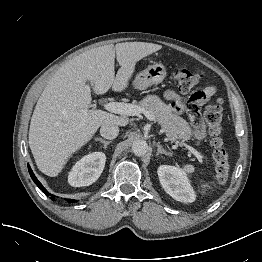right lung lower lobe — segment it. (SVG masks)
Masks as SVG:
<instances>
[{
  "mask_svg": "<svg viewBox=\"0 0 262 262\" xmlns=\"http://www.w3.org/2000/svg\"><path fill=\"white\" fill-rule=\"evenodd\" d=\"M28 169H29V173L31 178L33 179V181L35 182V184L46 194L49 195V193L47 192V190L42 186V184L37 180V178L35 177V175L33 174L30 166L28 165ZM69 202H74L73 200H69Z\"/></svg>",
  "mask_w": 262,
  "mask_h": 262,
  "instance_id": "98d812e1",
  "label": "right lung lower lobe"
}]
</instances>
